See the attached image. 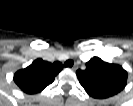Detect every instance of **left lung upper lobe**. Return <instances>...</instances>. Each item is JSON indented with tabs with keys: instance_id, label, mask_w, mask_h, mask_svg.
Masks as SVG:
<instances>
[{
	"instance_id": "1",
	"label": "left lung upper lobe",
	"mask_w": 133,
	"mask_h": 106,
	"mask_svg": "<svg viewBox=\"0 0 133 106\" xmlns=\"http://www.w3.org/2000/svg\"><path fill=\"white\" fill-rule=\"evenodd\" d=\"M76 75L85 91L92 97L103 99L124 89L127 72L116 64H109L98 57L86 63L85 70H77Z\"/></svg>"
}]
</instances>
